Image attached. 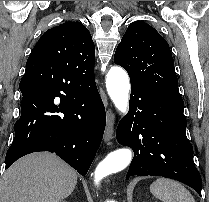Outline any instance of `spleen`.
<instances>
[{"label": "spleen", "instance_id": "spleen-1", "mask_svg": "<svg viewBox=\"0 0 209 202\" xmlns=\"http://www.w3.org/2000/svg\"><path fill=\"white\" fill-rule=\"evenodd\" d=\"M150 192L163 202H195L182 184L171 179L158 178L151 184Z\"/></svg>", "mask_w": 209, "mask_h": 202}]
</instances>
